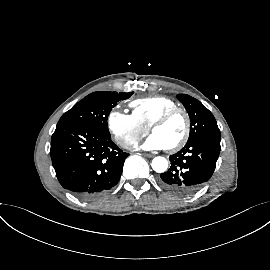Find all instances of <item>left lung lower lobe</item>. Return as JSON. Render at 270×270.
Segmentation results:
<instances>
[{"instance_id":"1","label":"left lung lower lobe","mask_w":270,"mask_h":270,"mask_svg":"<svg viewBox=\"0 0 270 270\" xmlns=\"http://www.w3.org/2000/svg\"><path fill=\"white\" fill-rule=\"evenodd\" d=\"M220 153V138H198L169 157L171 166L160 175L161 186L178 195H190L211 178Z\"/></svg>"}]
</instances>
